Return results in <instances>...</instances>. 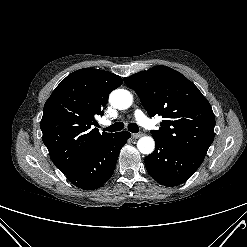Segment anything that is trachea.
Masks as SVG:
<instances>
[{"label":"trachea","instance_id":"3493384b","mask_svg":"<svg viewBox=\"0 0 247 247\" xmlns=\"http://www.w3.org/2000/svg\"><path fill=\"white\" fill-rule=\"evenodd\" d=\"M123 128V123L122 122H116L115 124L104 128L105 131H109V132H117L122 130ZM128 130L132 133H138L139 132V127L137 124L135 123H130L128 125Z\"/></svg>","mask_w":247,"mask_h":247}]
</instances>
